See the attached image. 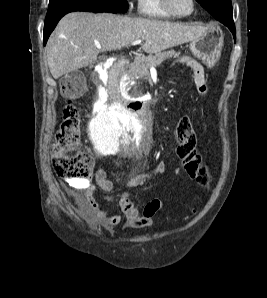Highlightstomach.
I'll list each match as a JSON object with an SVG mask.
<instances>
[{"label":"stomach","mask_w":267,"mask_h":298,"mask_svg":"<svg viewBox=\"0 0 267 298\" xmlns=\"http://www.w3.org/2000/svg\"><path fill=\"white\" fill-rule=\"evenodd\" d=\"M189 47L197 59L208 67H213L221 55L223 34L218 29H210L200 38L190 41Z\"/></svg>","instance_id":"stomach-1"}]
</instances>
